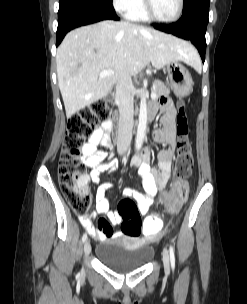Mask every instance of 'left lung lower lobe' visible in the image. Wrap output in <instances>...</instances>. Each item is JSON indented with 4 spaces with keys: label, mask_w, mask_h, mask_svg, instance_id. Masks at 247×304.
I'll return each mask as SVG.
<instances>
[{
    "label": "left lung lower lobe",
    "mask_w": 247,
    "mask_h": 304,
    "mask_svg": "<svg viewBox=\"0 0 247 304\" xmlns=\"http://www.w3.org/2000/svg\"><path fill=\"white\" fill-rule=\"evenodd\" d=\"M210 0H196L182 13L180 20L172 25L154 24V28L180 38L191 40L205 60V33L208 24Z\"/></svg>",
    "instance_id": "0a47b994"
}]
</instances>
